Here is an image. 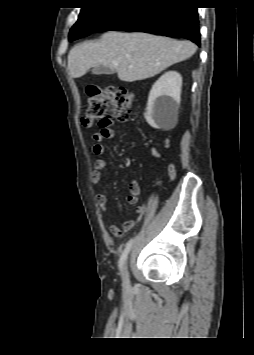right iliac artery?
<instances>
[{
	"label": "right iliac artery",
	"mask_w": 254,
	"mask_h": 355,
	"mask_svg": "<svg viewBox=\"0 0 254 355\" xmlns=\"http://www.w3.org/2000/svg\"><path fill=\"white\" fill-rule=\"evenodd\" d=\"M132 244H133V239H131L130 241L127 242L126 247H125L124 251L122 252V255H121L120 260H119V268H120V270H122V268H123L124 262L127 259V256H128V253H129V251H130V249L132 247Z\"/></svg>",
	"instance_id": "82829eb1"
}]
</instances>
